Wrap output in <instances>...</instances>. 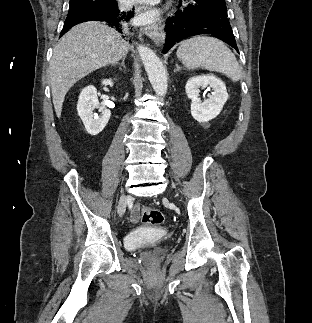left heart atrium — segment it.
<instances>
[{
	"label": "left heart atrium",
	"instance_id": "1",
	"mask_svg": "<svg viewBox=\"0 0 312 323\" xmlns=\"http://www.w3.org/2000/svg\"><path fill=\"white\" fill-rule=\"evenodd\" d=\"M129 4H142L143 7H146L147 4H159L160 0H128Z\"/></svg>",
	"mask_w": 312,
	"mask_h": 323
}]
</instances>
